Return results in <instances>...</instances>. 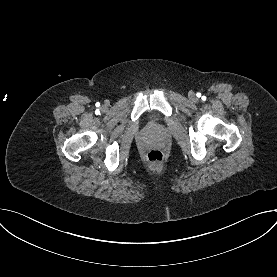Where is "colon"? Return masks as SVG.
Instances as JSON below:
<instances>
[{
  "mask_svg": "<svg viewBox=\"0 0 277 277\" xmlns=\"http://www.w3.org/2000/svg\"><path fill=\"white\" fill-rule=\"evenodd\" d=\"M146 159L153 165H158L163 161V153L160 150L153 149L146 154Z\"/></svg>",
  "mask_w": 277,
  "mask_h": 277,
  "instance_id": "5ec220e1",
  "label": "colon"
}]
</instances>
